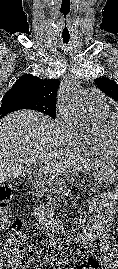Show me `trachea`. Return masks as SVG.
I'll return each mask as SVG.
<instances>
[{
	"label": "trachea",
	"instance_id": "3493384b",
	"mask_svg": "<svg viewBox=\"0 0 118 269\" xmlns=\"http://www.w3.org/2000/svg\"><path fill=\"white\" fill-rule=\"evenodd\" d=\"M63 42L67 44L69 42V39H63Z\"/></svg>",
	"mask_w": 118,
	"mask_h": 269
}]
</instances>
